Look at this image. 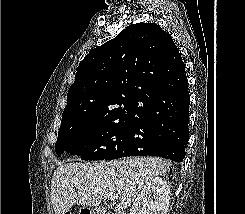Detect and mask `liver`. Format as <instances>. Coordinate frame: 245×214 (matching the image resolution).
<instances>
[{"label":"liver","mask_w":245,"mask_h":214,"mask_svg":"<svg viewBox=\"0 0 245 214\" xmlns=\"http://www.w3.org/2000/svg\"><path fill=\"white\" fill-rule=\"evenodd\" d=\"M170 167L168 161L154 157L62 164L51 180L54 212L65 214L75 203L95 207L114 194L118 195V209H127L150 180L165 174Z\"/></svg>","instance_id":"liver-1"}]
</instances>
